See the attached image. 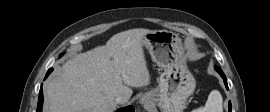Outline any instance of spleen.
I'll list each match as a JSON object with an SVG mask.
<instances>
[{
  "mask_svg": "<svg viewBox=\"0 0 270 112\" xmlns=\"http://www.w3.org/2000/svg\"><path fill=\"white\" fill-rule=\"evenodd\" d=\"M223 99L219 91L213 90L208 96L204 107L194 109L191 112H223Z\"/></svg>",
  "mask_w": 270,
  "mask_h": 112,
  "instance_id": "spleen-1",
  "label": "spleen"
}]
</instances>
